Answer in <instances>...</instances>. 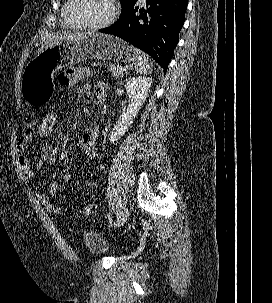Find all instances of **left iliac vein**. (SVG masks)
<instances>
[{"label":"left iliac vein","instance_id":"1","mask_svg":"<svg viewBox=\"0 0 272 303\" xmlns=\"http://www.w3.org/2000/svg\"><path fill=\"white\" fill-rule=\"evenodd\" d=\"M129 215V210L128 208H124L120 213H119V221L116 222L115 227L119 228L122 226L128 219Z\"/></svg>","mask_w":272,"mask_h":303}]
</instances>
